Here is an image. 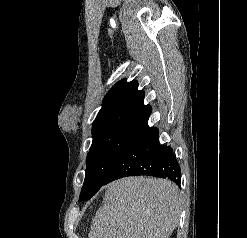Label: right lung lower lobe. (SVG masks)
I'll return each mask as SVG.
<instances>
[{
  "label": "right lung lower lobe",
  "instance_id": "1",
  "mask_svg": "<svg viewBox=\"0 0 247 238\" xmlns=\"http://www.w3.org/2000/svg\"><path fill=\"white\" fill-rule=\"evenodd\" d=\"M158 128L148 124L114 164L105 184L126 176L149 175L168 178L180 185V167L172 149L160 145Z\"/></svg>",
  "mask_w": 247,
  "mask_h": 238
}]
</instances>
